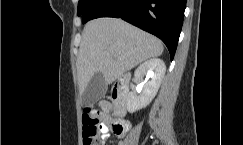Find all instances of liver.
<instances>
[{
	"instance_id": "1",
	"label": "liver",
	"mask_w": 243,
	"mask_h": 145,
	"mask_svg": "<svg viewBox=\"0 0 243 145\" xmlns=\"http://www.w3.org/2000/svg\"><path fill=\"white\" fill-rule=\"evenodd\" d=\"M163 49L158 38L121 19L104 17L88 22L77 58L80 94L96 72L111 84L143 61L160 56Z\"/></svg>"
}]
</instances>
